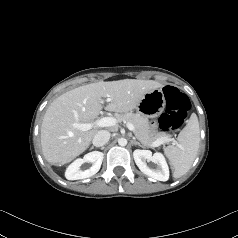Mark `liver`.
Segmentation results:
<instances>
[{
	"label": "liver",
	"instance_id": "obj_1",
	"mask_svg": "<svg viewBox=\"0 0 238 238\" xmlns=\"http://www.w3.org/2000/svg\"><path fill=\"white\" fill-rule=\"evenodd\" d=\"M162 85L153 80L124 79L100 81L72 89L56 98L47 108L41 125V147L44 158L62 166L82 154L90 145L95 129L81 131L74 124L90 123L103 108L126 113L137 108L146 93Z\"/></svg>",
	"mask_w": 238,
	"mask_h": 238
}]
</instances>
